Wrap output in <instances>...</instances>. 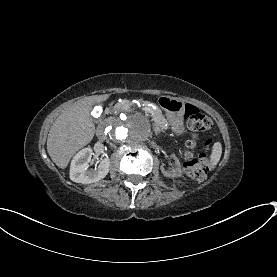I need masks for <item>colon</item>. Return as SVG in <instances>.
Listing matches in <instances>:
<instances>
[{
  "mask_svg": "<svg viewBox=\"0 0 277 277\" xmlns=\"http://www.w3.org/2000/svg\"><path fill=\"white\" fill-rule=\"evenodd\" d=\"M183 120L187 123L192 133L190 139L183 147L184 171L194 181H201L207 175L208 158L206 152L214 145V138L203 139L202 134L211 128L210 118L202 113L197 107L187 105ZM198 146L204 152L198 151Z\"/></svg>",
  "mask_w": 277,
  "mask_h": 277,
  "instance_id": "obj_1",
  "label": "colon"
}]
</instances>
